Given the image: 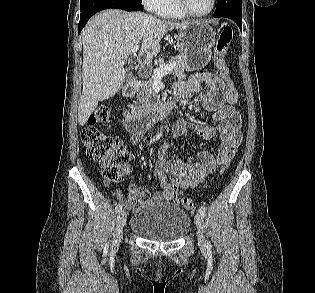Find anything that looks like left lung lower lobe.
I'll use <instances>...</instances> for the list:
<instances>
[{
    "label": "left lung lower lobe",
    "mask_w": 315,
    "mask_h": 293,
    "mask_svg": "<svg viewBox=\"0 0 315 293\" xmlns=\"http://www.w3.org/2000/svg\"><path fill=\"white\" fill-rule=\"evenodd\" d=\"M223 17L232 19L233 21L236 22V24L239 26V28H241L242 16L226 15V16H223Z\"/></svg>",
    "instance_id": "left-lung-lower-lobe-1"
}]
</instances>
